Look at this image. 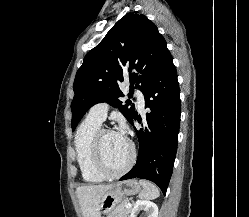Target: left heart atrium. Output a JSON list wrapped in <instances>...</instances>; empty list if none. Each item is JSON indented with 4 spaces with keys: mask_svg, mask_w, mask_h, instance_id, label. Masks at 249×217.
Listing matches in <instances>:
<instances>
[{
    "mask_svg": "<svg viewBox=\"0 0 249 217\" xmlns=\"http://www.w3.org/2000/svg\"><path fill=\"white\" fill-rule=\"evenodd\" d=\"M117 133L120 135V137H122L123 139L126 140L124 126H121L120 129H119V131Z\"/></svg>",
    "mask_w": 249,
    "mask_h": 217,
    "instance_id": "39dd6f15",
    "label": "left heart atrium"
}]
</instances>
